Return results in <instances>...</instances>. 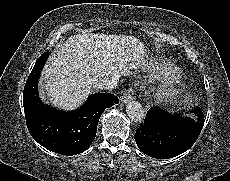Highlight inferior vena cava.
<instances>
[{"label":"inferior vena cava","instance_id":"602c4592","mask_svg":"<svg viewBox=\"0 0 230 181\" xmlns=\"http://www.w3.org/2000/svg\"><path fill=\"white\" fill-rule=\"evenodd\" d=\"M117 83H118V79L115 77H103L93 82L92 86L93 89L96 91L99 90L112 91L116 88Z\"/></svg>","mask_w":230,"mask_h":181}]
</instances>
